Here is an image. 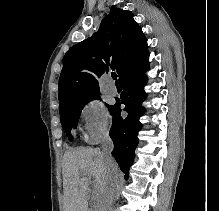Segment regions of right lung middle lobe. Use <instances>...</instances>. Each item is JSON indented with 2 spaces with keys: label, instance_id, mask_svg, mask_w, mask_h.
Masks as SVG:
<instances>
[{
  "label": "right lung middle lobe",
  "instance_id": "obj_1",
  "mask_svg": "<svg viewBox=\"0 0 219 211\" xmlns=\"http://www.w3.org/2000/svg\"><path fill=\"white\" fill-rule=\"evenodd\" d=\"M94 99H100V95H94L83 100H79L76 102L68 103L60 105L59 112H60V121L63 128L66 130V134L72 140V136L70 135V131L72 128H77V124L79 121V117L83 107ZM112 106L108 105L110 109Z\"/></svg>",
  "mask_w": 219,
  "mask_h": 211
}]
</instances>
